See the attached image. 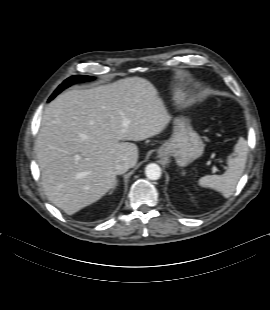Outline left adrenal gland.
<instances>
[{
    "label": "left adrenal gland",
    "instance_id": "1",
    "mask_svg": "<svg viewBox=\"0 0 270 310\" xmlns=\"http://www.w3.org/2000/svg\"><path fill=\"white\" fill-rule=\"evenodd\" d=\"M182 174H183V175H185V172H184V170L182 171Z\"/></svg>",
    "mask_w": 270,
    "mask_h": 310
}]
</instances>
